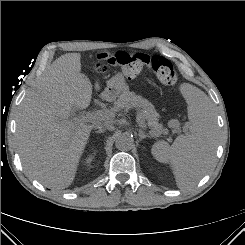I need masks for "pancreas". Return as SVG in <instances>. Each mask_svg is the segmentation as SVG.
Returning <instances> with one entry per match:
<instances>
[{"label": "pancreas", "mask_w": 245, "mask_h": 245, "mask_svg": "<svg viewBox=\"0 0 245 245\" xmlns=\"http://www.w3.org/2000/svg\"><path fill=\"white\" fill-rule=\"evenodd\" d=\"M132 108H136L139 114L147 121L146 124L150 128V134L153 137H158L166 132L162 124L158 122L159 114L156 112L154 106L148 100L144 99L142 96L136 95L134 92L127 91L119 97L116 106L109 110L112 114L109 118H113L117 111ZM109 122H113V120L110 119ZM169 126L177 129L179 123L176 120H171Z\"/></svg>", "instance_id": "obj_1"}]
</instances>
